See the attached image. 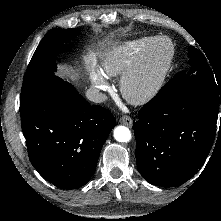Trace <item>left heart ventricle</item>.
Listing matches in <instances>:
<instances>
[{
	"mask_svg": "<svg viewBox=\"0 0 221 221\" xmlns=\"http://www.w3.org/2000/svg\"><path fill=\"white\" fill-rule=\"evenodd\" d=\"M163 52H164L163 49H160V50L158 51L157 57H156V62H158V61L161 59V57H162V55H163ZM153 68H154V67H153Z\"/></svg>",
	"mask_w": 221,
	"mask_h": 221,
	"instance_id": "b2bd125f",
	"label": "left heart ventricle"
}]
</instances>
